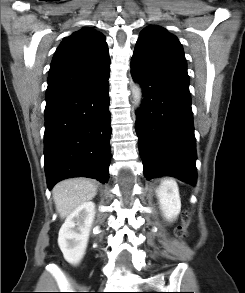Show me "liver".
Listing matches in <instances>:
<instances>
[{"label": "liver", "mask_w": 245, "mask_h": 293, "mask_svg": "<svg viewBox=\"0 0 245 293\" xmlns=\"http://www.w3.org/2000/svg\"><path fill=\"white\" fill-rule=\"evenodd\" d=\"M52 193L56 210L63 219L81 204L92 200L97 194V187L90 180L73 178L56 184Z\"/></svg>", "instance_id": "1"}]
</instances>
